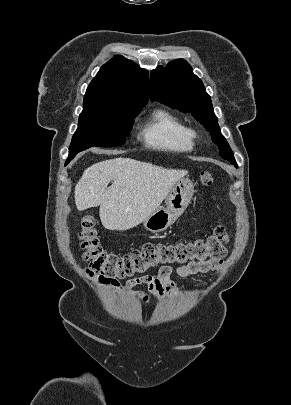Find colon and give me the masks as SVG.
I'll return each instance as SVG.
<instances>
[{
  "label": "colon",
  "mask_w": 291,
  "mask_h": 405,
  "mask_svg": "<svg viewBox=\"0 0 291 405\" xmlns=\"http://www.w3.org/2000/svg\"><path fill=\"white\" fill-rule=\"evenodd\" d=\"M200 179L205 186L213 183L207 171L201 173ZM78 237L83 258L89 264L87 273L100 284L113 287L119 286L118 278L143 274L156 267L222 259L229 241L225 228L218 226L206 239L146 243L126 254L109 253L100 244L96 221L90 213L81 218Z\"/></svg>",
  "instance_id": "colon-1"
}]
</instances>
